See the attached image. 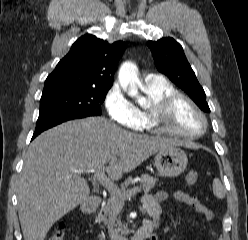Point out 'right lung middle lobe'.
I'll return each instance as SVG.
<instances>
[{
  "instance_id": "dd1d6c3e",
  "label": "right lung middle lobe",
  "mask_w": 248,
  "mask_h": 240,
  "mask_svg": "<svg viewBox=\"0 0 248 240\" xmlns=\"http://www.w3.org/2000/svg\"><path fill=\"white\" fill-rule=\"evenodd\" d=\"M108 90L59 88L43 91L39 118H84L101 115Z\"/></svg>"
}]
</instances>
